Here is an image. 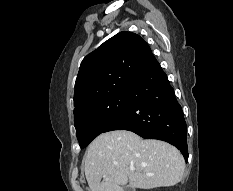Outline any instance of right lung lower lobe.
<instances>
[{
  "mask_svg": "<svg viewBox=\"0 0 233 191\" xmlns=\"http://www.w3.org/2000/svg\"><path fill=\"white\" fill-rule=\"evenodd\" d=\"M126 109L103 130H129L146 139H159L177 147L186 162L187 128L174 89L153 56L128 91Z\"/></svg>",
  "mask_w": 233,
  "mask_h": 191,
  "instance_id": "obj_1",
  "label": "right lung lower lobe"
}]
</instances>
